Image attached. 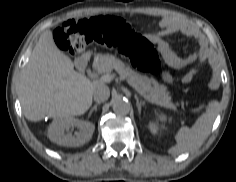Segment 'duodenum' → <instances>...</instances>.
Listing matches in <instances>:
<instances>
[{"mask_svg":"<svg viewBox=\"0 0 236 182\" xmlns=\"http://www.w3.org/2000/svg\"><path fill=\"white\" fill-rule=\"evenodd\" d=\"M88 64H89V59L87 56H81L78 60H77V68L81 73H85L87 68H88Z\"/></svg>","mask_w":236,"mask_h":182,"instance_id":"duodenum-1","label":"duodenum"}]
</instances>
